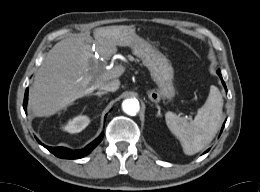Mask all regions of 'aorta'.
<instances>
[{
    "mask_svg": "<svg viewBox=\"0 0 260 192\" xmlns=\"http://www.w3.org/2000/svg\"><path fill=\"white\" fill-rule=\"evenodd\" d=\"M122 109L126 114L133 116L139 111L140 105L137 99L130 98L123 101Z\"/></svg>",
    "mask_w": 260,
    "mask_h": 192,
    "instance_id": "1",
    "label": "aorta"
}]
</instances>
